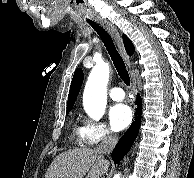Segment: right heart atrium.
I'll use <instances>...</instances> for the list:
<instances>
[{
	"label": "right heart atrium",
	"instance_id": "d8ad5b80",
	"mask_svg": "<svg viewBox=\"0 0 194 178\" xmlns=\"http://www.w3.org/2000/svg\"><path fill=\"white\" fill-rule=\"evenodd\" d=\"M116 139L115 133L105 123L84 119L79 134V142L85 146H95L104 142H112Z\"/></svg>",
	"mask_w": 194,
	"mask_h": 178
}]
</instances>
